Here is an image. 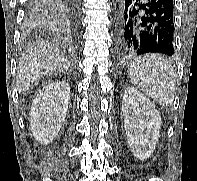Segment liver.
I'll return each mask as SVG.
<instances>
[{
    "instance_id": "6515ba94",
    "label": "liver",
    "mask_w": 197,
    "mask_h": 181,
    "mask_svg": "<svg viewBox=\"0 0 197 181\" xmlns=\"http://www.w3.org/2000/svg\"><path fill=\"white\" fill-rule=\"evenodd\" d=\"M71 69V64L60 49L50 43H39L22 54L16 75V87L20 93L26 92L31 85L43 76Z\"/></svg>"
}]
</instances>
